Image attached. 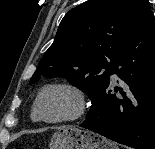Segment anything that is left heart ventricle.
<instances>
[{
	"label": "left heart ventricle",
	"instance_id": "left-heart-ventricle-1",
	"mask_svg": "<svg viewBox=\"0 0 155 149\" xmlns=\"http://www.w3.org/2000/svg\"><path fill=\"white\" fill-rule=\"evenodd\" d=\"M76 105L75 97L68 91L52 89L44 94L40 101V111L48 119L70 115Z\"/></svg>",
	"mask_w": 155,
	"mask_h": 149
}]
</instances>
